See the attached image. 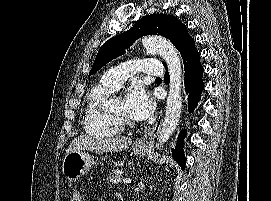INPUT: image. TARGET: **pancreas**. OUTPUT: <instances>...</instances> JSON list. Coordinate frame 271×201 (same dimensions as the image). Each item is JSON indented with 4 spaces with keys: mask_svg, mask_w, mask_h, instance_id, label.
<instances>
[{
    "mask_svg": "<svg viewBox=\"0 0 271 201\" xmlns=\"http://www.w3.org/2000/svg\"><path fill=\"white\" fill-rule=\"evenodd\" d=\"M107 181L112 184H119L122 182V172L112 170L111 174L107 177Z\"/></svg>",
    "mask_w": 271,
    "mask_h": 201,
    "instance_id": "1",
    "label": "pancreas"
}]
</instances>
